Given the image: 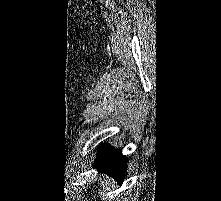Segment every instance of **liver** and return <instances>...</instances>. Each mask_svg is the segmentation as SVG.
<instances>
[{
    "mask_svg": "<svg viewBox=\"0 0 221 201\" xmlns=\"http://www.w3.org/2000/svg\"><path fill=\"white\" fill-rule=\"evenodd\" d=\"M103 178H104V181H102L101 184H102L103 186H106V187L109 188V186H111L110 177H107V176L104 175ZM105 179H107V180L105 181ZM112 183H113V182H112Z\"/></svg>",
    "mask_w": 221,
    "mask_h": 201,
    "instance_id": "liver-1",
    "label": "liver"
}]
</instances>
